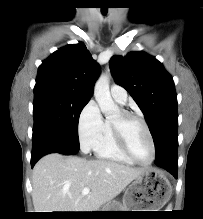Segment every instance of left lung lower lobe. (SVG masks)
<instances>
[{"instance_id": "left-lung-lower-lobe-1", "label": "left lung lower lobe", "mask_w": 203, "mask_h": 219, "mask_svg": "<svg viewBox=\"0 0 203 219\" xmlns=\"http://www.w3.org/2000/svg\"><path fill=\"white\" fill-rule=\"evenodd\" d=\"M178 146L167 149L161 156L156 158L155 164L169 171L175 178H177L178 160H177Z\"/></svg>"}]
</instances>
